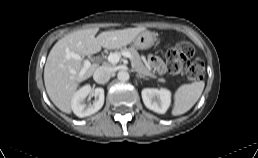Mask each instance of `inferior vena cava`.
<instances>
[{
    "label": "inferior vena cava",
    "instance_id": "1",
    "mask_svg": "<svg viewBox=\"0 0 258 158\" xmlns=\"http://www.w3.org/2000/svg\"><path fill=\"white\" fill-rule=\"evenodd\" d=\"M112 75V71L107 66H100L98 67L93 75L94 80L99 84L107 83Z\"/></svg>",
    "mask_w": 258,
    "mask_h": 158
}]
</instances>
